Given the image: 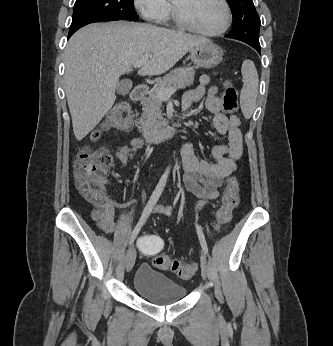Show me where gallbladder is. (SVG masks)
<instances>
[{
	"label": "gallbladder",
	"mask_w": 333,
	"mask_h": 346,
	"mask_svg": "<svg viewBox=\"0 0 333 346\" xmlns=\"http://www.w3.org/2000/svg\"><path fill=\"white\" fill-rule=\"evenodd\" d=\"M132 89V82L130 80H123L117 84L116 91L120 95H126Z\"/></svg>",
	"instance_id": "1"
}]
</instances>
